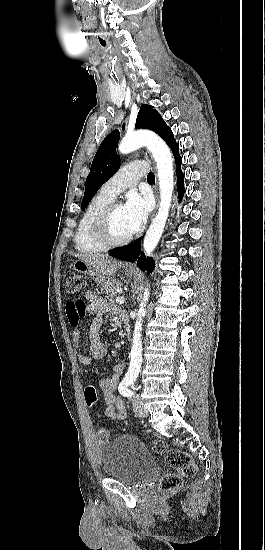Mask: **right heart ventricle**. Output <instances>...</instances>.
Masks as SVG:
<instances>
[{
  "label": "right heart ventricle",
  "mask_w": 265,
  "mask_h": 550,
  "mask_svg": "<svg viewBox=\"0 0 265 550\" xmlns=\"http://www.w3.org/2000/svg\"><path fill=\"white\" fill-rule=\"evenodd\" d=\"M113 197L107 195L102 189L87 204L76 228L74 243L79 252H100L106 247L94 236L92 224L97 214L110 202Z\"/></svg>",
  "instance_id": "1"
}]
</instances>
